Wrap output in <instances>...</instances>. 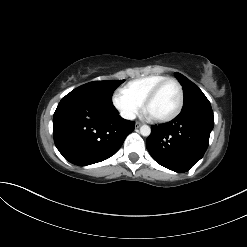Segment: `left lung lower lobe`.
I'll return each mask as SVG.
<instances>
[{"label": "left lung lower lobe", "instance_id": "obj_1", "mask_svg": "<svg viewBox=\"0 0 247 247\" xmlns=\"http://www.w3.org/2000/svg\"><path fill=\"white\" fill-rule=\"evenodd\" d=\"M213 125L210 102L197 101L183 107L172 121L152 126L146 147L157 163L183 173L203 157Z\"/></svg>", "mask_w": 247, "mask_h": 247}]
</instances>
